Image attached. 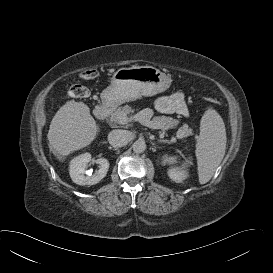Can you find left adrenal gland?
I'll return each mask as SVG.
<instances>
[{"instance_id": "left-adrenal-gland-1", "label": "left adrenal gland", "mask_w": 273, "mask_h": 273, "mask_svg": "<svg viewBox=\"0 0 273 273\" xmlns=\"http://www.w3.org/2000/svg\"><path fill=\"white\" fill-rule=\"evenodd\" d=\"M158 142L159 143H166L167 141L166 140H159Z\"/></svg>"}]
</instances>
